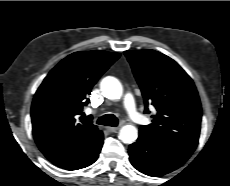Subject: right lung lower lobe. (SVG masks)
<instances>
[{"label":"right lung lower lobe","mask_w":230,"mask_h":186,"mask_svg":"<svg viewBox=\"0 0 230 186\" xmlns=\"http://www.w3.org/2000/svg\"><path fill=\"white\" fill-rule=\"evenodd\" d=\"M102 144H103V138L99 142H97L91 148V150L86 155H84L78 162H76V163H74V164H72V165H70L64 169L77 170V169L85 168V167L91 165L98 158Z\"/></svg>","instance_id":"1"}]
</instances>
